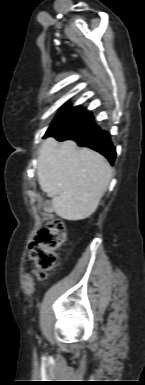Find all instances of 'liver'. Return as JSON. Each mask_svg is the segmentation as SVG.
<instances>
[{
  "label": "liver",
  "instance_id": "1",
  "mask_svg": "<svg viewBox=\"0 0 145 385\" xmlns=\"http://www.w3.org/2000/svg\"><path fill=\"white\" fill-rule=\"evenodd\" d=\"M37 176L41 190L52 198L54 212L77 221L97 209L112 177L110 164L98 152L78 148L73 140L46 138L38 152Z\"/></svg>",
  "mask_w": 145,
  "mask_h": 385
}]
</instances>
